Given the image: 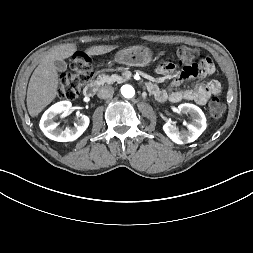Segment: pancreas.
Instances as JSON below:
<instances>
[{"label": "pancreas", "mask_w": 253, "mask_h": 253, "mask_svg": "<svg viewBox=\"0 0 253 253\" xmlns=\"http://www.w3.org/2000/svg\"><path fill=\"white\" fill-rule=\"evenodd\" d=\"M117 80H122L123 79L121 77H113V76H108V75H105V74H100L98 77H97V80H96V83H98L99 85H102V84H112L114 83L115 81Z\"/></svg>", "instance_id": "obj_1"}]
</instances>
